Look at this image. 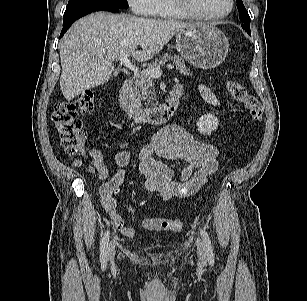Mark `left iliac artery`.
<instances>
[{
  "label": "left iliac artery",
  "mask_w": 307,
  "mask_h": 301,
  "mask_svg": "<svg viewBox=\"0 0 307 301\" xmlns=\"http://www.w3.org/2000/svg\"><path fill=\"white\" fill-rule=\"evenodd\" d=\"M200 234H201V237H202L203 242H204L208 261L210 263H213L214 262V253H213L210 237H209L208 233L205 231V229H202V228H200Z\"/></svg>",
  "instance_id": "obj_1"
}]
</instances>
